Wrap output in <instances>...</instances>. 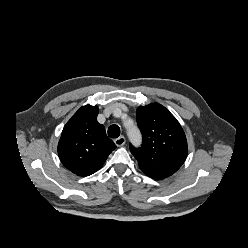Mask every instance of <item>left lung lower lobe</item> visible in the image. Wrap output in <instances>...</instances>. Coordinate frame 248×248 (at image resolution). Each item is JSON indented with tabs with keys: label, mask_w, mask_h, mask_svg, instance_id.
<instances>
[{
	"label": "left lung lower lobe",
	"mask_w": 248,
	"mask_h": 248,
	"mask_svg": "<svg viewBox=\"0 0 248 248\" xmlns=\"http://www.w3.org/2000/svg\"><path fill=\"white\" fill-rule=\"evenodd\" d=\"M147 176L153 178V179H164L165 177H161V176H158V175H154V174H149V173H145Z\"/></svg>",
	"instance_id": "left-lung-lower-lobe-1"
}]
</instances>
